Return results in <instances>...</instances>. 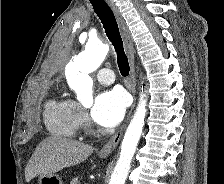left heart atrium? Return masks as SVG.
Instances as JSON below:
<instances>
[{"mask_svg":"<svg viewBox=\"0 0 224 184\" xmlns=\"http://www.w3.org/2000/svg\"><path fill=\"white\" fill-rule=\"evenodd\" d=\"M126 106V95L121 90L105 91L96 97L91 117L100 126L111 128L122 120Z\"/></svg>","mask_w":224,"mask_h":184,"instance_id":"obj_1","label":"left heart atrium"}]
</instances>
